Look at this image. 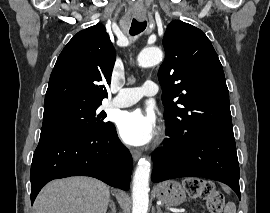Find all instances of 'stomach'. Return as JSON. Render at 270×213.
I'll return each mask as SVG.
<instances>
[{"label": "stomach", "mask_w": 270, "mask_h": 213, "mask_svg": "<svg viewBox=\"0 0 270 213\" xmlns=\"http://www.w3.org/2000/svg\"><path fill=\"white\" fill-rule=\"evenodd\" d=\"M158 200L169 206H178L186 198L181 184L175 180H168L159 184L156 188Z\"/></svg>", "instance_id": "stomach-1"}]
</instances>
